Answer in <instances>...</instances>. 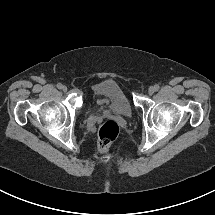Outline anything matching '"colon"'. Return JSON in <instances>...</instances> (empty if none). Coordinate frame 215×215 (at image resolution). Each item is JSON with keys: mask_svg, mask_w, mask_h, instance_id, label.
I'll use <instances>...</instances> for the list:
<instances>
[{"mask_svg": "<svg viewBox=\"0 0 215 215\" xmlns=\"http://www.w3.org/2000/svg\"><path fill=\"white\" fill-rule=\"evenodd\" d=\"M120 132L119 125L113 120L104 121L98 129V149L106 151Z\"/></svg>", "mask_w": 215, "mask_h": 215, "instance_id": "colon-1", "label": "colon"}]
</instances>
